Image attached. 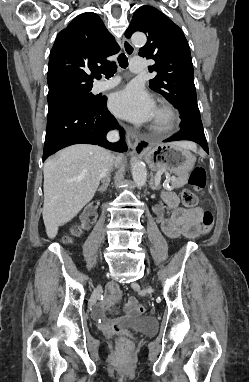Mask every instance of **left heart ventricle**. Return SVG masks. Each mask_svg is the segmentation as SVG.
I'll list each match as a JSON object with an SVG mask.
<instances>
[{"label":"left heart ventricle","instance_id":"1","mask_svg":"<svg viewBox=\"0 0 249 382\" xmlns=\"http://www.w3.org/2000/svg\"><path fill=\"white\" fill-rule=\"evenodd\" d=\"M151 120H152L151 123H161L164 120V116L161 112H159L158 110H155Z\"/></svg>","mask_w":249,"mask_h":382}]
</instances>
